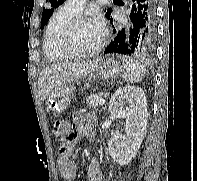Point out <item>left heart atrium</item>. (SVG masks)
<instances>
[{"label": "left heart atrium", "instance_id": "obj_1", "mask_svg": "<svg viewBox=\"0 0 197 181\" xmlns=\"http://www.w3.org/2000/svg\"><path fill=\"white\" fill-rule=\"evenodd\" d=\"M91 23L99 30L102 31L104 27V22L101 15L96 14L93 16Z\"/></svg>", "mask_w": 197, "mask_h": 181}]
</instances>
